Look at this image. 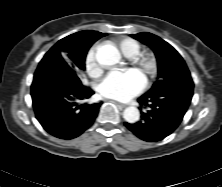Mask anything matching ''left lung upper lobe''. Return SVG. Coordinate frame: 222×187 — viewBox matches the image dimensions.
<instances>
[{
	"label": "left lung upper lobe",
	"mask_w": 222,
	"mask_h": 187,
	"mask_svg": "<svg viewBox=\"0 0 222 187\" xmlns=\"http://www.w3.org/2000/svg\"><path fill=\"white\" fill-rule=\"evenodd\" d=\"M132 36L151 47L157 58L158 78L146 94L168 92L170 98L178 97L182 91V84L192 81L181 55L170 44L154 34L142 32Z\"/></svg>",
	"instance_id": "1"
}]
</instances>
